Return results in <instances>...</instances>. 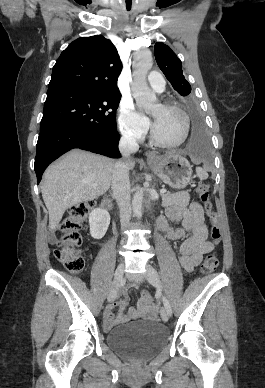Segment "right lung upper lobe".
<instances>
[{"label":"right lung upper lobe","mask_w":265,"mask_h":388,"mask_svg":"<svg viewBox=\"0 0 265 388\" xmlns=\"http://www.w3.org/2000/svg\"><path fill=\"white\" fill-rule=\"evenodd\" d=\"M121 69L118 52L110 40L102 35L80 37L56 61L47 95L118 89L116 85Z\"/></svg>","instance_id":"1"}]
</instances>
